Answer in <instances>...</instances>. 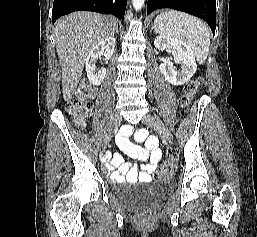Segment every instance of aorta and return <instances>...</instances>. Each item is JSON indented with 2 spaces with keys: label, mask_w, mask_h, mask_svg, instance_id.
Wrapping results in <instances>:
<instances>
[{
  "label": "aorta",
  "mask_w": 257,
  "mask_h": 237,
  "mask_svg": "<svg viewBox=\"0 0 257 237\" xmlns=\"http://www.w3.org/2000/svg\"><path fill=\"white\" fill-rule=\"evenodd\" d=\"M145 0H132L133 7L136 11H139L144 6Z\"/></svg>",
  "instance_id": "1"
}]
</instances>
